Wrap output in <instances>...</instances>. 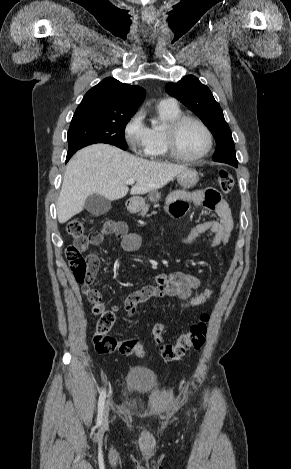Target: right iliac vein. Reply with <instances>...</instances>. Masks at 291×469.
I'll return each mask as SVG.
<instances>
[{
	"label": "right iliac vein",
	"mask_w": 291,
	"mask_h": 469,
	"mask_svg": "<svg viewBox=\"0 0 291 469\" xmlns=\"http://www.w3.org/2000/svg\"><path fill=\"white\" fill-rule=\"evenodd\" d=\"M108 415H109V404L106 403L104 410H103V416H102V423L103 425L107 424L108 421Z\"/></svg>",
	"instance_id": "obj_1"
}]
</instances>
